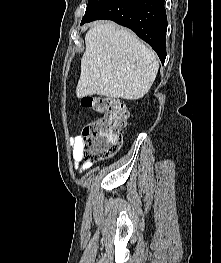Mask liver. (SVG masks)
<instances>
[{"instance_id":"liver-1","label":"liver","mask_w":221,"mask_h":263,"mask_svg":"<svg viewBox=\"0 0 221 263\" xmlns=\"http://www.w3.org/2000/svg\"><path fill=\"white\" fill-rule=\"evenodd\" d=\"M78 98L101 95L136 100L150 90L159 69L154 51L113 23H95L85 35Z\"/></svg>"}]
</instances>
